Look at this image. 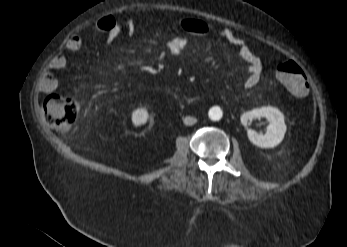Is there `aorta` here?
Returning a JSON list of instances; mask_svg holds the SVG:
<instances>
[{
  "label": "aorta",
  "mask_w": 347,
  "mask_h": 247,
  "mask_svg": "<svg viewBox=\"0 0 347 247\" xmlns=\"http://www.w3.org/2000/svg\"><path fill=\"white\" fill-rule=\"evenodd\" d=\"M209 118L213 121H219L222 118V110L219 107H214L209 110Z\"/></svg>",
  "instance_id": "obj_1"
}]
</instances>
